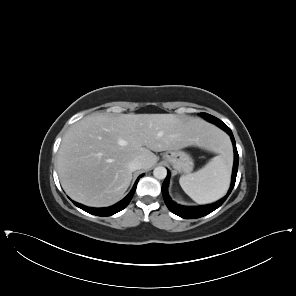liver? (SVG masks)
I'll return each instance as SVG.
<instances>
[{"label": "liver", "mask_w": 296, "mask_h": 296, "mask_svg": "<svg viewBox=\"0 0 296 296\" xmlns=\"http://www.w3.org/2000/svg\"><path fill=\"white\" fill-rule=\"evenodd\" d=\"M222 139L206 121L175 114H98L73 124L58 151V175L66 194L90 207L119 201L132 180L128 164L157 163L152 152L198 146L213 150Z\"/></svg>", "instance_id": "liver-1"}]
</instances>
